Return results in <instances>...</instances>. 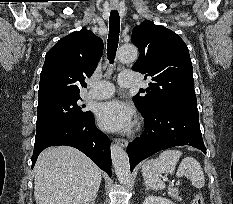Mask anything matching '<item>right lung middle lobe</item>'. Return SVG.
Instances as JSON below:
<instances>
[{"mask_svg":"<svg viewBox=\"0 0 233 204\" xmlns=\"http://www.w3.org/2000/svg\"><path fill=\"white\" fill-rule=\"evenodd\" d=\"M80 96H56L38 103L36 122V137L46 134L56 128L76 124L91 115L79 104Z\"/></svg>","mask_w":233,"mask_h":204,"instance_id":"obj_1","label":"right lung middle lobe"}]
</instances>
